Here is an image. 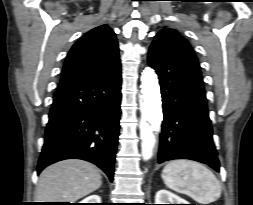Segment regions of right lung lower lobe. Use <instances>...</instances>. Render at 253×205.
I'll return each mask as SVG.
<instances>
[{
    "instance_id": "right-lung-lower-lobe-1",
    "label": "right lung lower lobe",
    "mask_w": 253,
    "mask_h": 205,
    "mask_svg": "<svg viewBox=\"0 0 253 205\" xmlns=\"http://www.w3.org/2000/svg\"><path fill=\"white\" fill-rule=\"evenodd\" d=\"M120 63L95 77L60 85L54 94L38 173L60 160L96 164L113 181L119 136Z\"/></svg>"
}]
</instances>
